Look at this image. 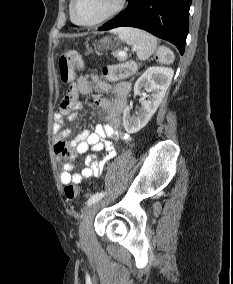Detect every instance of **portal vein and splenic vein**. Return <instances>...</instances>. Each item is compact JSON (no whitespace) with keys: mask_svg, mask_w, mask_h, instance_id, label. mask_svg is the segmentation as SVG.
Listing matches in <instances>:
<instances>
[{"mask_svg":"<svg viewBox=\"0 0 233 284\" xmlns=\"http://www.w3.org/2000/svg\"><path fill=\"white\" fill-rule=\"evenodd\" d=\"M127 54L126 53H122L121 56L119 55V57H126Z\"/></svg>","mask_w":233,"mask_h":284,"instance_id":"obj_1","label":"portal vein and splenic vein"}]
</instances>
